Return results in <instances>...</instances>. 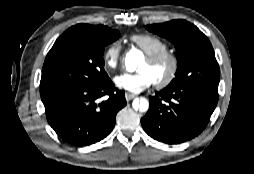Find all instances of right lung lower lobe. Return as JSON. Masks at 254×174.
I'll return each mask as SVG.
<instances>
[{
	"mask_svg": "<svg viewBox=\"0 0 254 174\" xmlns=\"http://www.w3.org/2000/svg\"><path fill=\"white\" fill-rule=\"evenodd\" d=\"M104 95L109 98L101 103ZM50 126L58 136L75 146H87L104 139L126 105L125 93L108 78L92 87L60 89L41 95Z\"/></svg>",
	"mask_w": 254,
	"mask_h": 174,
	"instance_id": "1",
	"label": "right lung lower lobe"
}]
</instances>
